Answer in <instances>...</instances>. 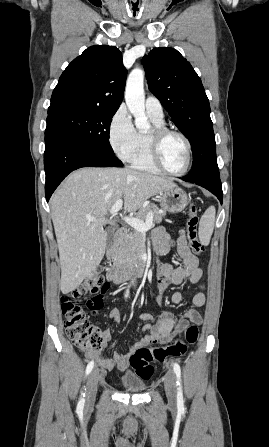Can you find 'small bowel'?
<instances>
[{
  "instance_id": "c3829d8e",
  "label": "small bowel",
  "mask_w": 269,
  "mask_h": 447,
  "mask_svg": "<svg viewBox=\"0 0 269 447\" xmlns=\"http://www.w3.org/2000/svg\"><path fill=\"white\" fill-rule=\"evenodd\" d=\"M152 241L156 252L160 255H165L169 246V235L163 227H158L154 230L152 235ZM177 253L180 257L181 264H164L160 267L158 273L157 288L163 292L170 284L183 285L187 281L193 285L200 284L202 277V270L199 266L198 259L191 252L187 245L184 232L179 231L177 238ZM184 299V294L180 291H176L171 295V302L173 304H180ZM161 296H158L155 301L161 303ZM192 303L195 308H200L205 303V295L202 292H197L192 297ZM139 318L144 321H148L147 325L143 328L146 334L141 335L139 340L133 346L131 351L137 347L145 346L150 343L166 344L171 342L175 333L173 328H188L189 321L195 324L202 322L201 316L196 309H188L179 316H175L169 312H162L157 318H154L148 313L139 314ZM109 319L113 323H119L121 320V313L118 309H111L109 312ZM103 340L107 342L111 336V329L105 328L102 330ZM90 356L103 368L112 369L117 367L119 370H125L129 366L128 354H119L113 352L111 356H105L103 354L93 352L89 353Z\"/></svg>"
}]
</instances>
